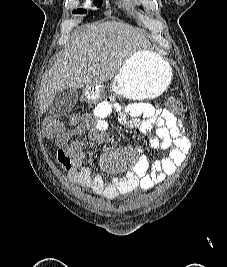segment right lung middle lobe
Here are the masks:
<instances>
[{
	"mask_svg": "<svg viewBox=\"0 0 227 267\" xmlns=\"http://www.w3.org/2000/svg\"><path fill=\"white\" fill-rule=\"evenodd\" d=\"M95 3L97 4L98 7H100L102 5V0H96ZM74 13H84L87 12L86 10H82V9H77L73 11Z\"/></svg>",
	"mask_w": 227,
	"mask_h": 267,
	"instance_id": "right-lung-middle-lobe-1",
	"label": "right lung middle lobe"
}]
</instances>
